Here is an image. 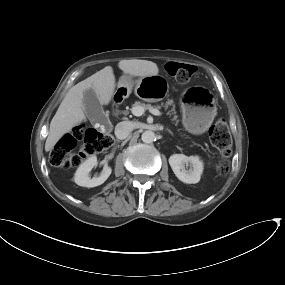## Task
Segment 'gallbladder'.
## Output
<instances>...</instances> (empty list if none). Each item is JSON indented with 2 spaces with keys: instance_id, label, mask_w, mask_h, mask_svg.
<instances>
[{
  "instance_id": "gallbladder-1",
  "label": "gallbladder",
  "mask_w": 285,
  "mask_h": 285,
  "mask_svg": "<svg viewBox=\"0 0 285 285\" xmlns=\"http://www.w3.org/2000/svg\"><path fill=\"white\" fill-rule=\"evenodd\" d=\"M84 110L87 117L94 123L109 124V118L105 114L102 104L94 89L89 88L84 92L83 97Z\"/></svg>"
}]
</instances>
